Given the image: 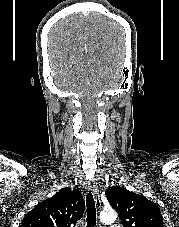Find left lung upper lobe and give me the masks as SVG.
<instances>
[{"mask_svg": "<svg viewBox=\"0 0 179 227\" xmlns=\"http://www.w3.org/2000/svg\"><path fill=\"white\" fill-rule=\"evenodd\" d=\"M105 195L124 227H164L159 207L143 195L120 186L109 187Z\"/></svg>", "mask_w": 179, "mask_h": 227, "instance_id": "1", "label": "left lung upper lobe"}]
</instances>
